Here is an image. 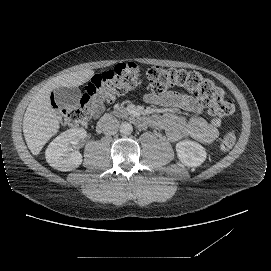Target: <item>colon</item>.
I'll use <instances>...</instances> for the list:
<instances>
[{"label":"colon","mask_w":271,"mask_h":271,"mask_svg":"<svg viewBox=\"0 0 271 271\" xmlns=\"http://www.w3.org/2000/svg\"><path fill=\"white\" fill-rule=\"evenodd\" d=\"M140 71L133 62L120 63L113 70L96 74L77 105L61 108L56 106L61 121L69 126L87 125L104 103L116 95L125 94L139 84ZM149 87L159 95L172 88H183L201 98L212 114V120L220 124L222 119L234 112V105L225 99L224 90L211 79L196 71L152 67L147 71ZM236 142V134L228 132L221 140L223 151L230 150Z\"/></svg>","instance_id":"obj_1"}]
</instances>
